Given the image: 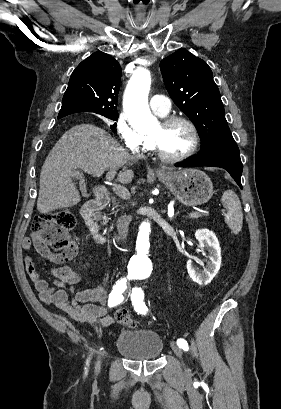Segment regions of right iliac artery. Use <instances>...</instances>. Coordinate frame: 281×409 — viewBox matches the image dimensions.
I'll return each instance as SVG.
<instances>
[{"instance_id":"1","label":"right iliac artery","mask_w":281,"mask_h":409,"mask_svg":"<svg viewBox=\"0 0 281 409\" xmlns=\"http://www.w3.org/2000/svg\"><path fill=\"white\" fill-rule=\"evenodd\" d=\"M131 278L132 277H124L116 281L109 296L108 300L109 307H114L122 302L127 301L130 295V288L129 285L127 284V281L128 279Z\"/></svg>"}]
</instances>
